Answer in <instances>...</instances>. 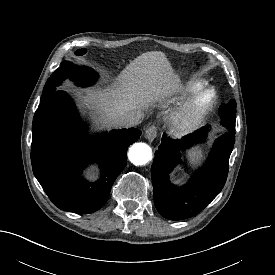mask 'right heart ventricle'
<instances>
[{
    "instance_id": "obj_1",
    "label": "right heart ventricle",
    "mask_w": 275,
    "mask_h": 275,
    "mask_svg": "<svg viewBox=\"0 0 275 275\" xmlns=\"http://www.w3.org/2000/svg\"><path fill=\"white\" fill-rule=\"evenodd\" d=\"M205 85V81L201 79H192L184 84H181L175 91H174V99H182L192 93L195 90L202 88Z\"/></svg>"
}]
</instances>
